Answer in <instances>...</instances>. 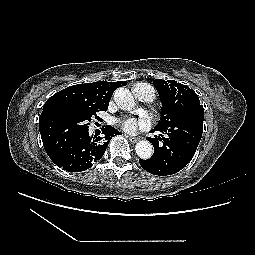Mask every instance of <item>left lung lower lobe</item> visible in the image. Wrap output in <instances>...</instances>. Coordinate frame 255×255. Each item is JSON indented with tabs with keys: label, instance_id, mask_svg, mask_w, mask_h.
I'll list each match as a JSON object with an SVG mask.
<instances>
[{
	"label": "left lung lower lobe",
	"instance_id": "1",
	"mask_svg": "<svg viewBox=\"0 0 255 255\" xmlns=\"http://www.w3.org/2000/svg\"><path fill=\"white\" fill-rule=\"evenodd\" d=\"M204 109L196 112L191 122L182 118L168 127L156 126L154 131L167 136L148 138L153 144L154 154L148 160H139L140 165L149 173L166 176L183 169L193 158L203 132Z\"/></svg>",
	"mask_w": 255,
	"mask_h": 255
}]
</instances>
